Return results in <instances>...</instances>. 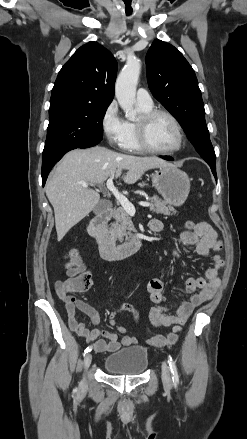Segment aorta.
<instances>
[{
	"mask_svg": "<svg viewBox=\"0 0 247 439\" xmlns=\"http://www.w3.org/2000/svg\"><path fill=\"white\" fill-rule=\"evenodd\" d=\"M140 71L141 61L137 58H128L116 80V98L126 117L130 119L136 115L134 104L136 102V87Z\"/></svg>",
	"mask_w": 247,
	"mask_h": 439,
	"instance_id": "1",
	"label": "aorta"
}]
</instances>
